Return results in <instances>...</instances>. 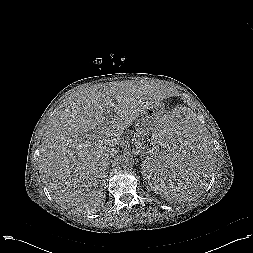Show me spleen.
I'll return each mask as SVG.
<instances>
[{"mask_svg":"<svg viewBox=\"0 0 253 253\" xmlns=\"http://www.w3.org/2000/svg\"><path fill=\"white\" fill-rule=\"evenodd\" d=\"M150 139L142 164L147 183L169 201L198 196L215 162L205 126L191 112L173 110L153 127Z\"/></svg>","mask_w":253,"mask_h":253,"instance_id":"obj_1","label":"spleen"}]
</instances>
